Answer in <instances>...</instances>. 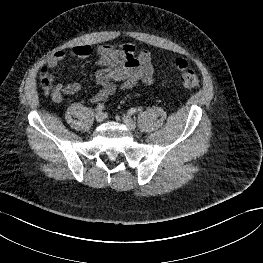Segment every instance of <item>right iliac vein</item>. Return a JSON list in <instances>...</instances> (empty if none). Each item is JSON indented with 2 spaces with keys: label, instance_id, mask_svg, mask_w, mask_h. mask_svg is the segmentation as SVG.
Returning a JSON list of instances; mask_svg holds the SVG:
<instances>
[{
  "label": "right iliac vein",
  "instance_id": "obj_1",
  "mask_svg": "<svg viewBox=\"0 0 263 263\" xmlns=\"http://www.w3.org/2000/svg\"><path fill=\"white\" fill-rule=\"evenodd\" d=\"M95 119L98 123L104 120V114L101 111H98L95 115Z\"/></svg>",
  "mask_w": 263,
  "mask_h": 263
}]
</instances>
